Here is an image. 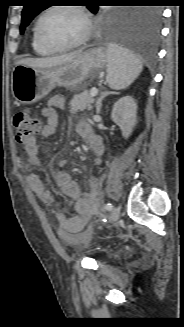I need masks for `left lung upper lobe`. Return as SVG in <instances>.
Returning <instances> with one entry per match:
<instances>
[{
  "label": "left lung upper lobe",
  "mask_w": 184,
  "mask_h": 327,
  "mask_svg": "<svg viewBox=\"0 0 184 327\" xmlns=\"http://www.w3.org/2000/svg\"><path fill=\"white\" fill-rule=\"evenodd\" d=\"M47 8L45 0H28L22 11V22L20 32H24L25 28L32 21V19L39 14L41 11ZM88 9L93 13L97 14L99 7L97 5L88 6ZM105 25L108 28L118 29L121 25L118 22L119 13L116 10H109L103 14Z\"/></svg>",
  "instance_id": "1"
}]
</instances>
